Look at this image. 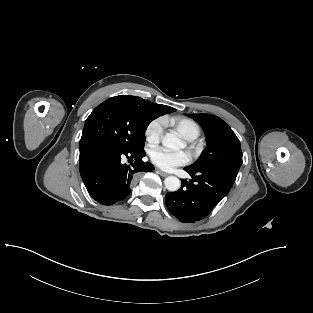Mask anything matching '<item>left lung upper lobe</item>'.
I'll use <instances>...</instances> for the list:
<instances>
[{
  "instance_id": "obj_1",
  "label": "left lung upper lobe",
  "mask_w": 313,
  "mask_h": 313,
  "mask_svg": "<svg viewBox=\"0 0 313 313\" xmlns=\"http://www.w3.org/2000/svg\"><path fill=\"white\" fill-rule=\"evenodd\" d=\"M201 124L207 135L208 147L189 169L229 167L239 170L242 164L240 141L232 129L219 117L210 114H187Z\"/></svg>"
}]
</instances>
